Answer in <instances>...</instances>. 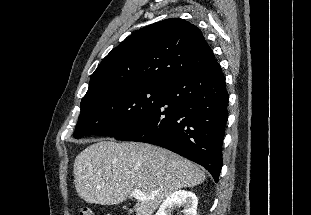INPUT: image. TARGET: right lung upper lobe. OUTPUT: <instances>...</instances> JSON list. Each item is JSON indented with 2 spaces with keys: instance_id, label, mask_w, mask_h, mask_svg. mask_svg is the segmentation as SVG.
Segmentation results:
<instances>
[{
  "instance_id": "cb5924a9",
  "label": "right lung upper lobe",
  "mask_w": 311,
  "mask_h": 215,
  "mask_svg": "<svg viewBox=\"0 0 311 215\" xmlns=\"http://www.w3.org/2000/svg\"><path fill=\"white\" fill-rule=\"evenodd\" d=\"M216 61L200 29L180 18L141 28L114 48L92 74L86 96L132 86L164 85Z\"/></svg>"
}]
</instances>
